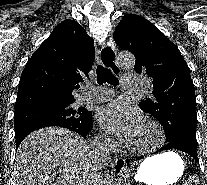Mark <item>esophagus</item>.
I'll use <instances>...</instances> for the list:
<instances>
[{
  "instance_id": "34e87169",
  "label": "esophagus",
  "mask_w": 207,
  "mask_h": 185,
  "mask_svg": "<svg viewBox=\"0 0 207 185\" xmlns=\"http://www.w3.org/2000/svg\"><path fill=\"white\" fill-rule=\"evenodd\" d=\"M104 48H113V43H104ZM97 53L99 54V50H97ZM117 54L116 50H101V55H107V56H101L100 60L107 61L104 62V67H110L111 72L119 73L121 72V67H116V61L117 57L115 56ZM125 160H120V158H117L115 160V173H123L125 170Z\"/></svg>"
}]
</instances>
